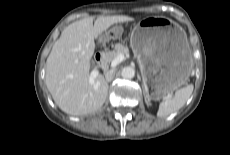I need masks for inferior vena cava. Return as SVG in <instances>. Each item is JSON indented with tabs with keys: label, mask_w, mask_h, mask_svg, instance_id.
<instances>
[{
	"label": "inferior vena cava",
	"mask_w": 230,
	"mask_h": 155,
	"mask_svg": "<svg viewBox=\"0 0 230 155\" xmlns=\"http://www.w3.org/2000/svg\"><path fill=\"white\" fill-rule=\"evenodd\" d=\"M113 74H114V70H110L106 72L105 74L106 81L110 82L113 79Z\"/></svg>",
	"instance_id": "obj_1"
}]
</instances>
